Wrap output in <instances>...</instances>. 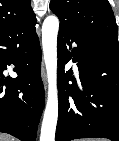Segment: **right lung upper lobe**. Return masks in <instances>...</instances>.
I'll return each instance as SVG.
<instances>
[{
    "label": "right lung upper lobe",
    "instance_id": "right-lung-upper-lobe-1",
    "mask_svg": "<svg viewBox=\"0 0 119 141\" xmlns=\"http://www.w3.org/2000/svg\"><path fill=\"white\" fill-rule=\"evenodd\" d=\"M36 21L30 0H0V37Z\"/></svg>",
    "mask_w": 119,
    "mask_h": 141
}]
</instances>
